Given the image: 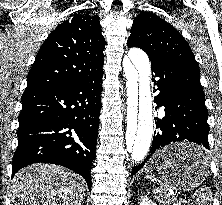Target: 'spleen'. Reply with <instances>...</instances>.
I'll use <instances>...</instances> for the list:
<instances>
[{"label": "spleen", "instance_id": "obj_1", "mask_svg": "<svg viewBox=\"0 0 222 205\" xmlns=\"http://www.w3.org/2000/svg\"><path fill=\"white\" fill-rule=\"evenodd\" d=\"M149 163L146 164L144 171H148ZM155 192L158 194L157 199L162 204L171 205L172 200L169 196L165 194L162 189H156ZM193 204L194 205H209V202L212 200L211 191L206 187L203 186L195 191L193 195Z\"/></svg>", "mask_w": 222, "mask_h": 205}]
</instances>
